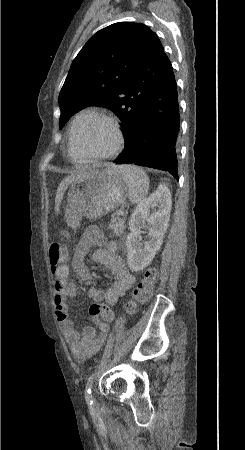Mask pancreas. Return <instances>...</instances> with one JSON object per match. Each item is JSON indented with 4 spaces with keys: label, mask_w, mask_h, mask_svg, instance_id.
<instances>
[{
    "label": "pancreas",
    "mask_w": 245,
    "mask_h": 450,
    "mask_svg": "<svg viewBox=\"0 0 245 450\" xmlns=\"http://www.w3.org/2000/svg\"><path fill=\"white\" fill-rule=\"evenodd\" d=\"M124 223H125V219L117 216L111 220V223L109 224V228L113 230L114 235L119 237L123 234V230L125 228Z\"/></svg>",
    "instance_id": "1"
}]
</instances>
